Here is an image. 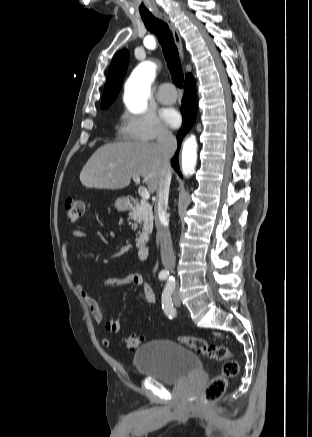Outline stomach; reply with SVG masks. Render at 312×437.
Listing matches in <instances>:
<instances>
[{"mask_svg": "<svg viewBox=\"0 0 312 437\" xmlns=\"http://www.w3.org/2000/svg\"><path fill=\"white\" fill-rule=\"evenodd\" d=\"M115 207L117 208V210L119 211H125L128 209L129 204L126 198H118L115 201Z\"/></svg>", "mask_w": 312, "mask_h": 437, "instance_id": "0dacf381", "label": "stomach"}]
</instances>
